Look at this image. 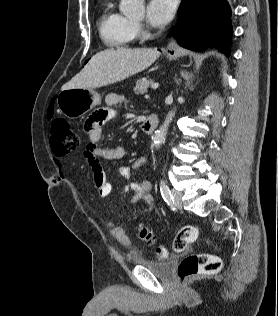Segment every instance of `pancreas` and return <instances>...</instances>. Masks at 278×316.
I'll return each instance as SVG.
<instances>
[{"label":"pancreas","instance_id":"1","mask_svg":"<svg viewBox=\"0 0 278 316\" xmlns=\"http://www.w3.org/2000/svg\"><path fill=\"white\" fill-rule=\"evenodd\" d=\"M153 84V80L147 79V78H142L136 81V86L134 88L135 94H144L147 92V89L149 88L150 85Z\"/></svg>","mask_w":278,"mask_h":316}]
</instances>
